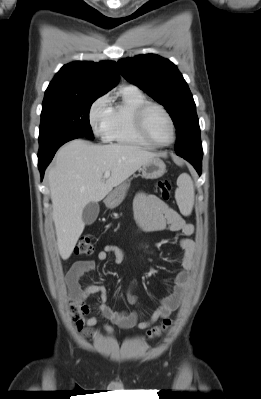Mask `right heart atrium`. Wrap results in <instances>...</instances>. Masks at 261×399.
Here are the masks:
<instances>
[{
	"label": "right heart atrium",
	"instance_id": "right-heart-atrium-1",
	"mask_svg": "<svg viewBox=\"0 0 261 399\" xmlns=\"http://www.w3.org/2000/svg\"><path fill=\"white\" fill-rule=\"evenodd\" d=\"M110 108V97L107 94L95 100L90 107L89 123L97 137L107 138L110 126Z\"/></svg>",
	"mask_w": 261,
	"mask_h": 399
}]
</instances>
